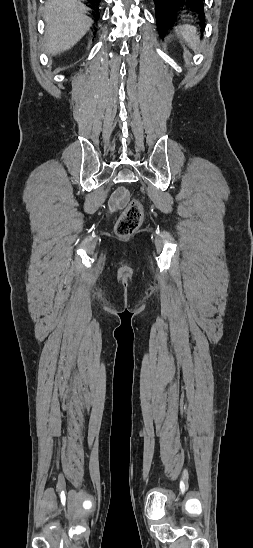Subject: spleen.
<instances>
[{
  "instance_id": "1",
  "label": "spleen",
  "mask_w": 253,
  "mask_h": 548,
  "mask_svg": "<svg viewBox=\"0 0 253 548\" xmlns=\"http://www.w3.org/2000/svg\"><path fill=\"white\" fill-rule=\"evenodd\" d=\"M176 31L183 37L189 47L193 49L196 48L199 42V35L196 27L191 25H181L176 29Z\"/></svg>"
}]
</instances>
